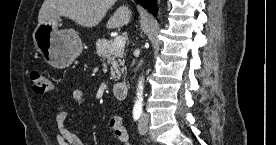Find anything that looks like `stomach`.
Wrapping results in <instances>:
<instances>
[{
	"label": "stomach",
	"instance_id": "stomach-1",
	"mask_svg": "<svg viewBox=\"0 0 276 145\" xmlns=\"http://www.w3.org/2000/svg\"><path fill=\"white\" fill-rule=\"evenodd\" d=\"M58 21L59 18H54L38 23L32 37L45 61L55 68L64 69L81 54L83 45L74 30H59Z\"/></svg>",
	"mask_w": 276,
	"mask_h": 145
}]
</instances>
